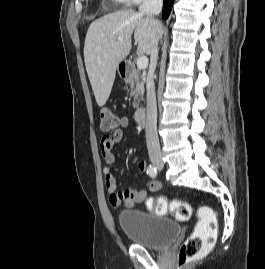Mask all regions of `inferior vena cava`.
I'll use <instances>...</instances> for the list:
<instances>
[{
  "mask_svg": "<svg viewBox=\"0 0 265 269\" xmlns=\"http://www.w3.org/2000/svg\"><path fill=\"white\" fill-rule=\"evenodd\" d=\"M163 6V0H144L139 7V13L153 18L158 15ZM158 59V43H156L151 56L147 77V112H146V143L150 160H161V150L157 134V104L154 85V72Z\"/></svg>",
  "mask_w": 265,
  "mask_h": 269,
  "instance_id": "obj_1",
  "label": "inferior vena cava"
}]
</instances>
